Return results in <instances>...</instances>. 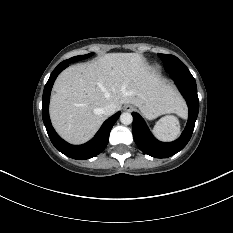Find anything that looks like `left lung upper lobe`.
<instances>
[{"mask_svg": "<svg viewBox=\"0 0 233 233\" xmlns=\"http://www.w3.org/2000/svg\"><path fill=\"white\" fill-rule=\"evenodd\" d=\"M164 63L166 72H190L188 68L177 57L167 54H159Z\"/></svg>", "mask_w": 233, "mask_h": 233, "instance_id": "5c2ea615", "label": "left lung upper lobe"}]
</instances>
